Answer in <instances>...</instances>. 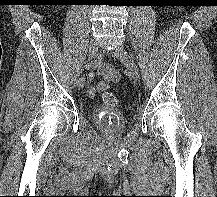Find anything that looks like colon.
<instances>
[{
	"label": "colon",
	"mask_w": 217,
	"mask_h": 197,
	"mask_svg": "<svg viewBox=\"0 0 217 197\" xmlns=\"http://www.w3.org/2000/svg\"><path fill=\"white\" fill-rule=\"evenodd\" d=\"M104 103L109 107H114L119 104V98L112 92H104L102 95Z\"/></svg>",
	"instance_id": "obj_1"
}]
</instances>
